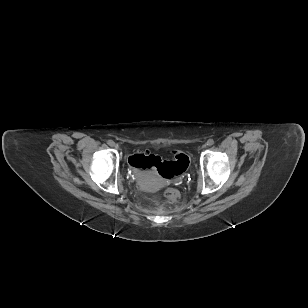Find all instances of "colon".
<instances>
[{"mask_svg":"<svg viewBox=\"0 0 308 308\" xmlns=\"http://www.w3.org/2000/svg\"><path fill=\"white\" fill-rule=\"evenodd\" d=\"M173 154L174 159L172 161H162L160 158L147 152H140L130 158V163L136 168L155 169L162 177L172 178L182 174L189 165L187 155L180 151H174ZM164 197L169 202L175 203L179 201L180 193L174 188H168L164 192Z\"/></svg>","mask_w":308,"mask_h":308,"instance_id":"1","label":"colon"}]
</instances>
